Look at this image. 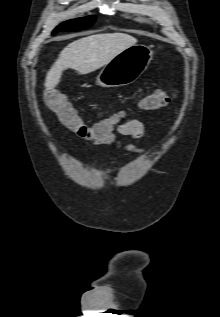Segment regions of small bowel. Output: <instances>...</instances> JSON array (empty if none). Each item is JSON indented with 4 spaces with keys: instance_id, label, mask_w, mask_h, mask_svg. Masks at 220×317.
I'll return each instance as SVG.
<instances>
[{
    "instance_id": "small-bowel-1",
    "label": "small bowel",
    "mask_w": 220,
    "mask_h": 317,
    "mask_svg": "<svg viewBox=\"0 0 220 317\" xmlns=\"http://www.w3.org/2000/svg\"><path fill=\"white\" fill-rule=\"evenodd\" d=\"M116 131L126 137L132 139L141 138L145 133V126L139 120H129L120 123L116 127ZM78 135L86 140L92 141L94 144H115L120 150L138 152L140 148L132 142H123L116 138L113 132L106 135L96 133L95 125L87 126L84 132H79Z\"/></svg>"
}]
</instances>
